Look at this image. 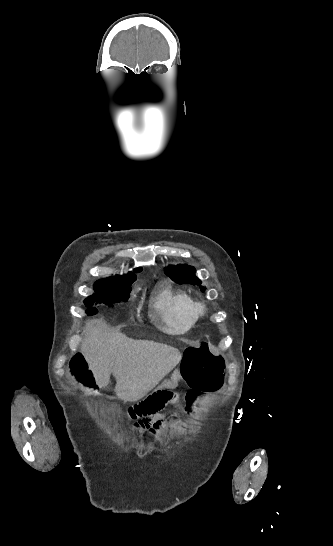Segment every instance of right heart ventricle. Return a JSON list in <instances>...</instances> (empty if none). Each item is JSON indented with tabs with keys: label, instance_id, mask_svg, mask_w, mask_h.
I'll list each match as a JSON object with an SVG mask.
<instances>
[{
	"label": "right heart ventricle",
	"instance_id": "e07e8e85",
	"mask_svg": "<svg viewBox=\"0 0 333 546\" xmlns=\"http://www.w3.org/2000/svg\"><path fill=\"white\" fill-rule=\"evenodd\" d=\"M150 303L156 321L168 333L184 334L195 325L194 301L184 291L164 286L154 293Z\"/></svg>",
	"mask_w": 333,
	"mask_h": 546
}]
</instances>
